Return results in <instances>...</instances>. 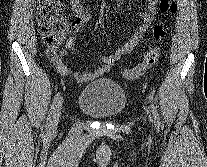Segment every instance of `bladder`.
Returning a JSON list of instances; mask_svg holds the SVG:
<instances>
[{
    "mask_svg": "<svg viewBox=\"0 0 207 167\" xmlns=\"http://www.w3.org/2000/svg\"><path fill=\"white\" fill-rule=\"evenodd\" d=\"M77 105L90 117L102 120L114 119L126 108L127 95L116 82L100 79L83 87Z\"/></svg>",
    "mask_w": 207,
    "mask_h": 167,
    "instance_id": "31cf9c89",
    "label": "bladder"
}]
</instances>
